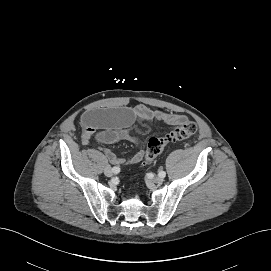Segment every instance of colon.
Instances as JSON below:
<instances>
[{
    "instance_id": "colon-1",
    "label": "colon",
    "mask_w": 271,
    "mask_h": 271,
    "mask_svg": "<svg viewBox=\"0 0 271 271\" xmlns=\"http://www.w3.org/2000/svg\"><path fill=\"white\" fill-rule=\"evenodd\" d=\"M195 131V123L190 120H184L164 136L150 138L147 144L144 163L150 164L169 144L184 140L193 135Z\"/></svg>"
}]
</instances>
